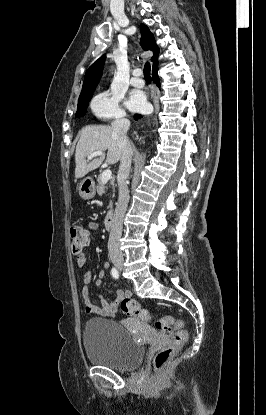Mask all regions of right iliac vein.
I'll return each instance as SVG.
<instances>
[{
    "mask_svg": "<svg viewBox=\"0 0 266 415\" xmlns=\"http://www.w3.org/2000/svg\"><path fill=\"white\" fill-rule=\"evenodd\" d=\"M113 264L115 265V267L119 270L123 269V260L121 259H113Z\"/></svg>",
    "mask_w": 266,
    "mask_h": 415,
    "instance_id": "right-iliac-vein-1",
    "label": "right iliac vein"
}]
</instances>
